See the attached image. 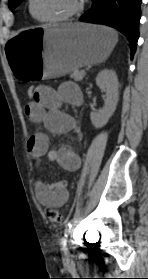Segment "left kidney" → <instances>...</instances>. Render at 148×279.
Listing matches in <instances>:
<instances>
[{
	"mask_svg": "<svg viewBox=\"0 0 148 279\" xmlns=\"http://www.w3.org/2000/svg\"><path fill=\"white\" fill-rule=\"evenodd\" d=\"M97 86L106 92L104 107L90 114L93 126L97 129L103 127L113 115L119 99V83L116 72L110 69L102 70L96 77Z\"/></svg>",
	"mask_w": 148,
	"mask_h": 279,
	"instance_id": "left-kidney-1",
	"label": "left kidney"
}]
</instances>
